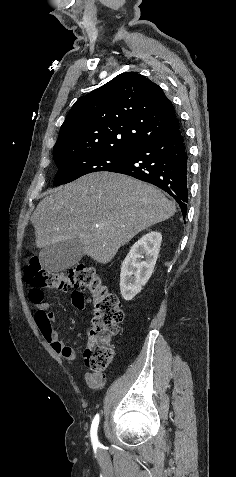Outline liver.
<instances>
[{
	"label": "liver",
	"instance_id": "liver-1",
	"mask_svg": "<svg viewBox=\"0 0 236 477\" xmlns=\"http://www.w3.org/2000/svg\"><path fill=\"white\" fill-rule=\"evenodd\" d=\"M175 212V204L154 186L97 172L49 191L31 221L38 248L78 239L86 255L107 264L139 232Z\"/></svg>",
	"mask_w": 236,
	"mask_h": 477
}]
</instances>
